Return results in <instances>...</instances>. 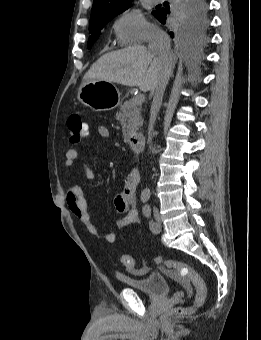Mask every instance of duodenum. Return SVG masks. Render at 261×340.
Listing matches in <instances>:
<instances>
[{
	"label": "duodenum",
	"instance_id": "1",
	"mask_svg": "<svg viewBox=\"0 0 261 340\" xmlns=\"http://www.w3.org/2000/svg\"><path fill=\"white\" fill-rule=\"evenodd\" d=\"M145 140L142 134H136L130 137L129 146L135 155H140L144 151Z\"/></svg>",
	"mask_w": 261,
	"mask_h": 340
}]
</instances>
